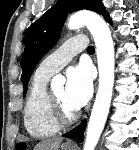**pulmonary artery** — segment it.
I'll return each mask as SVG.
<instances>
[{
	"label": "pulmonary artery",
	"instance_id": "1",
	"mask_svg": "<svg viewBox=\"0 0 139 150\" xmlns=\"http://www.w3.org/2000/svg\"><path fill=\"white\" fill-rule=\"evenodd\" d=\"M88 41L84 35L67 40L58 50L46 57L38 66L36 75L52 76L62 69L77 53L87 49Z\"/></svg>",
	"mask_w": 139,
	"mask_h": 150
}]
</instances>
